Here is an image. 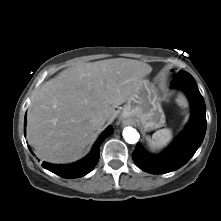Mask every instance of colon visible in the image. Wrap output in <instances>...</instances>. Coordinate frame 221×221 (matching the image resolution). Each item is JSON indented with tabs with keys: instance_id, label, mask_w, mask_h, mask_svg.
<instances>
[{
	"instance_id": "obj_1",
	"label": "colon",
	"mask_w": 221,
	"mask_h": 221,
	"mask_svg": "<svg viewBox=\"0 0 221 221\" xmlns=\"http://www.w3.org/2000/svg\"><path fill=\"white\" fill-rule=\"evenodd\" d=\"M184 102H185L184 97H180V98H179V103H180V104H183Z\"/></svg>"
}]
</instances>
